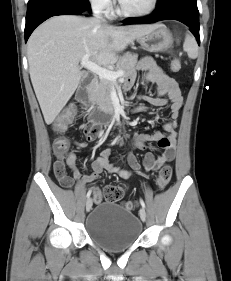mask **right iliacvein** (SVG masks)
I'll return each instance as SVG.
<instances>
[{"label":"right iliac vein","instance_id":"1","mask_svg":"<svg viewBox=\"0 0 231 281\" xmlns=\"http://www.w3.org/2000/svg\"><path fill=\"white\" fill-rule=\"evenodd\" d=\"M92 208V199L88 198L86 201V211L89 212Z\"/></svg>","mask_w":231,"mask_h":281}]
</instances>
